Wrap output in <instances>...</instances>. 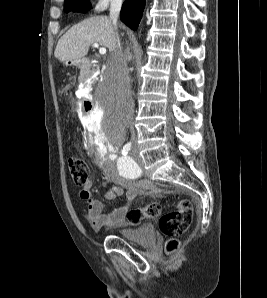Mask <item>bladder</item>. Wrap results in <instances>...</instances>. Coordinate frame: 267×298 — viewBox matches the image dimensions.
Wrapping results in <instances>:
<instances>
[{
	"instance_id": "bladder-1",
	"label": "bladder",
	"mask_w": 267,
	"mask_h": 298,
	"mask_svg": "<svg viewBox=\"0 0 267 298\" xmlns=\"http://www.w3.org/2000/svg\"><path fill=\"white\" fill-rule=\"evenodd\" d=\"M118 235L123 239L147 246L155 242V231L152 225L145 224L138 228H126L118 231Z\"/></svg>"
}]
</instances>
